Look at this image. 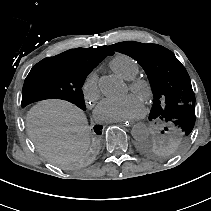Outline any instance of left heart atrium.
I'll return each instance as SVG.
<instances>
[{
	"label": "left heart atrium",
	"mask_w": 211,
	"mask_h": 211,
	"mask_svg": "<svg viewBox=\"0 0 211 211\" xmlns=\"http://www.w3.org/2000/svg\"><path fill=\"white\" fill-rule=\"evenodd\" d=\"M144 114V103L134 94L121 98H105L95 109L96 119L102 122L138 119Z\"/></svg>",
	"instance_id": "left-heart-atrium-1"
}]
</instances>
